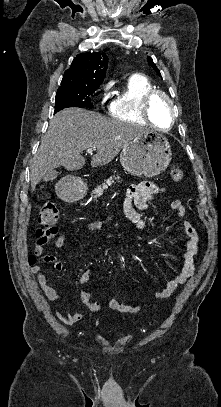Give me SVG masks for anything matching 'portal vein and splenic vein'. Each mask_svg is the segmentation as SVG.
Returning a JSON list of instances; mask_svg holds the SVG:
<instances>
[{"label": "portal vein and splenic vein", "instance_id": "18ae733b", "mask_svg": "<svg viewBox=\"0 0 221 407\" xmlns=\"http://www.w3.org/2000/svg\"><path fill=\"white\" fill-rule=\"evenodd\" d=\"M93 151H94V149H92V148H89V149L86 150V152L89 153V154H92Z\"/></svg>", "mask_w": 221, "mask_h": 407}]
</instances>
